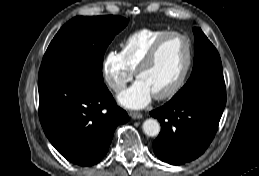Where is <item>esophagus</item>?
<instances>
[{
  "mask_svg": "<svg viewBox=\"0 0 259 176\" xmlns=\"http://www.w3.org/2000/svg\"><path fill=\"white\" fill-rule=\"evenodd\" d=\"M129 115L133 119H141L143 117V115L139 112H130Z\"/></svg>",
  "mask_w": 259,
  "mask_h": 176,
  "instance_id": "1",
  "label": "esophagus"
}]
</instances>
